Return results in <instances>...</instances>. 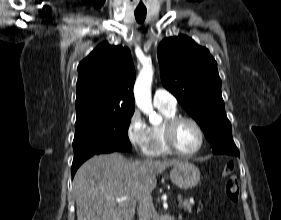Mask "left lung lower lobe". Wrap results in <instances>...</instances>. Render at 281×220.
Listing matches in <instances>:
<instances>
[{
  "label": "left lung lower lobe",
  "instance_id": "left-lung-lower-lobe-1",
  "mask_svg": "<svg viewBox=\"0 0 281 220\" xmlns=\"http://www.w3.org/2000/svg\"><path fill=\"white\" fill-rule=\"evenodd\" d=\"M234 155L239 157V151H237Z\"/></svg>",
  "mask_w": 281,
  "mask_h": 220
}]
</instances>
